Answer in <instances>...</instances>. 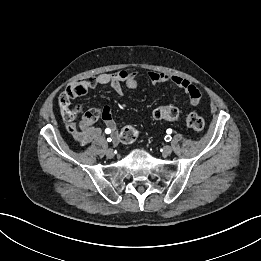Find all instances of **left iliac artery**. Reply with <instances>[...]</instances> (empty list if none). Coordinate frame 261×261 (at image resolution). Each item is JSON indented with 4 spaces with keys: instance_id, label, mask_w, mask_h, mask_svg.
Wrapping results in <instances>:
<instances>
[{
    "instance_id": "1",
    "label": "left iliac artery",
    "mask_w": 261,
    "mask_h": 261,
    "mask_svg": "<svg viewBox=\"0 0 261 261\" xmlns=\"http://www.w3.org/2000/svg\"><path fill=\"white\" fill-rule=\"evenodd\" d=\"M166 132L168 134H171L172 133V129H167ZM165 141H167V142L171 141V136L170 135L165 136Z\"/></svg>"
}]
</instances>
